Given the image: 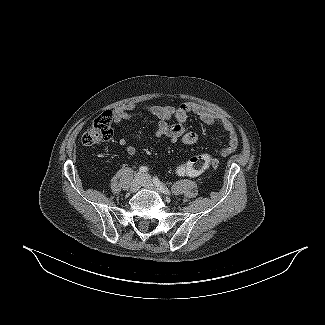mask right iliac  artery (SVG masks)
Wrapping results in <instances>:
<instances>
[{
    "instance_id": "right-iliac-artery-1",
    "label": "right iliac artery",
    "mask_w": 325,
    "mask_h": 325,
    "mask_svg": "<svg viewBox=\"0 0 325 325\" xmlns=\"http://www.w3.org/2000/svg\"><path fill=\"white\" fill-rule=\"evenodd\" d=\"M139 170L141 173H146L148 171V168L146 166H141Z\"/></svg>"
}]
</instances>
